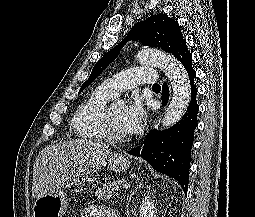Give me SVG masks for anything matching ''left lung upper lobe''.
I'll return each instance as SVG.
<instances>
[{
	"mask_svg": "<svg viewBox=\"0 0 255 217\" xmlns=\"http://www.w3.org/2000/svg\"><path fill=\"white\" fill-rule=\"evenodd\" d=\"M129 40H139L144 46L158 47L172 54L186 46V40L182 36L177 21L163 13L153 15L133 26L127 37L97 62L88 80L81 86L79 93L107 68Z\"/></svg>",
	"mask_w": 255,
	"mask_h": 217,
	"instance_id": "1",
	"label": "left lung upper lobe"
}]
</instances>
